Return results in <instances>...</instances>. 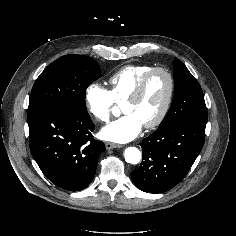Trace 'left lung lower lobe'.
<instances>
[{
    "instance_id": "1",
    "label": "left lung lower lobe",
    "mask_w": 236,
    "mask_h": 236,
    "mask_svg": "<svg viewBox=\"0 0 236 236\" xmlns=\"http://www.w3.org/2000/svg\"><path fill=\"white\" fill-rule=\"evenodd\" d=\"M206 123L174 122L158 128L142 140L143 159L131 172L135 185L144 192L163 193L176 186L200 153Z\"/></svg>"
}]
</instances>
